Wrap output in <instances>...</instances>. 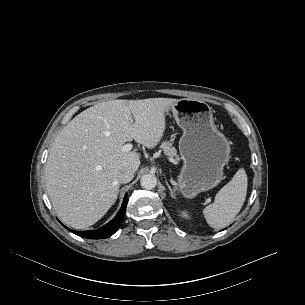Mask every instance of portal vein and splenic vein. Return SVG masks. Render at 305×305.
Listing matches in <instances>:
<instances>
[{
    "label": "portal vein and splenic vein",
    "mask_w": 305,
    "mask_h": 305,
    "mask_svg": "<svg viewBox=\"0 0 305 305\" xmlns=\"http://www.w3.org/2000/svg\"><path fill=\"white\" fill-rule=\"evenodd\" d=\"M132 148H133V145L131 143H127V144L123 145L122 151L128 152V151L132 150ZM207 202H210V199H208Z\"/></svg>",
    "instance_id": "1"
}]
</instances>
